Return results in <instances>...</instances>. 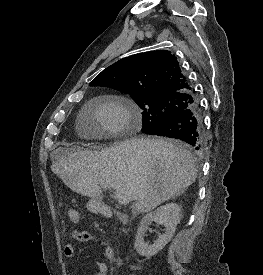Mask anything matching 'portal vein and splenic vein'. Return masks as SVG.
I'll return each instance as SVG.
<instances>
[{"mask_svg": "<svg viewBox=\"0 0 263 275\" xmlns=\"http://www.w3.org/2000/svg\"><path fill=\"white\" fill-rule=\"evenodd\" d=\"M99 185L104 189L109 188L105 183L102 182H100ZM113 198L117 199L118 203L121 205L128 204L132 200L130 196L124 195L123 193L117 191L114 192Z\"/></svg>", "mask_w": 263, "mask_h": 275, "instance_id": "portal-vein-and-splenic-vein-1", "label": "portal vein and splenic vein"}]
</instances>
